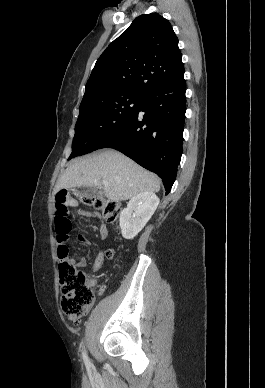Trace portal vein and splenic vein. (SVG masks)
I'll return each mask as SVG.
<instances>
[{
	"label": "portal vein and splenic vein",
	"instance_id": "1",
	"mask_svg": "<svg viewBox=\"0 0 265 388\" xmlns=\"http://www.w3.org/2000/svg\"><path fill=\"white\" fill-rule=\"evenodd\" d=\"M102 184H103L104 188H108V186H109L107 180H102Z\"/></svg>",
	"mask_w": 265,
	"mask_h": 388
}]
</instances>
